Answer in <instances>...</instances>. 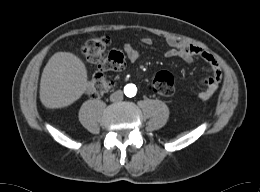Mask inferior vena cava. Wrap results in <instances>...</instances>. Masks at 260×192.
<instances>
[{"label": "inferior vena cava", "mask_w": 260, "mask_h": 192, "mask_svg": "<svg viewBox=\"0 0 260 192\" xmlns=\"http://www.w3.org/2000/svg\"><path fill=\"white\" fill-rule=\"evenodd\" d=\"M123 99V92L121 90H117L116 92L112 93L110 96V100L112 102H118Z\"/></svg>", "instance_id": "1"}]
</instances>
